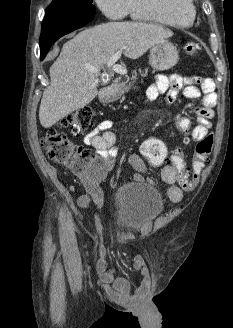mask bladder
Here are the masks:
<instances>
[{"instance_id":"bladder-1","label":"bladder","mask_w":233,"mask_h":328,"mask_svg":"<svg viewBox=\"0 0 233 328\" xmlns=\"http://www.w3.org/2000/svg\"><path fill=\"white\" fill-rule=\"evenodd\" d=\"M116 219L126 229H138L154 221L164 209L161 193L146 183H126L113 193Z\"/></svg>"}]
</instances>
